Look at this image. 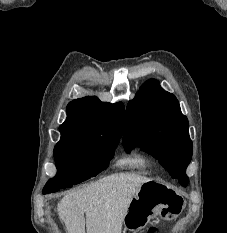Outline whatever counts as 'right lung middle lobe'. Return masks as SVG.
Listing matches in <instances>:
<instances>
[{
  "mask_svg": "<svg viewBox=\"0 0 227 233\" xmlns=\"http://www.w3.org/2000/svg\"><path fill=\"white\" fill-rule=\"evenodd\" d=\"M119 136L97 140L61 137L54 148L57 174L43 188L54 193L86 181L108 167L119 143Z\"/></svg>",
  "mask_w": 227,
  "mask_h": 233,
  "instance_id": "obj_1",
  "label": "right lung middle lobe"
}]
</instances>
